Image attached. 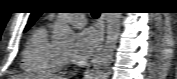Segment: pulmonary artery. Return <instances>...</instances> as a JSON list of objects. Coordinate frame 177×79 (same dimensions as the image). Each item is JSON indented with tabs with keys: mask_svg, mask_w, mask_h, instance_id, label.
I'll list each match as a JSON object with an SVG mask.
<instances>
[{
	"mask_svg": "<svg viewBox=\"0 0 177 79\" xmlns=\"http://www.w3.org/2000/svg\"><path fill=\"white\" fill-rule=\"evenodd\" d=\"M64 17L71 24L84 25L86 23V17L84 14H67L64 15Z\"/></svg>",
	"mask_w": 177,
	"mask_h": 79,
	"instance_id": "e3ab8cb5",
	"label": "pulmonary artery"
}]
</instances>
